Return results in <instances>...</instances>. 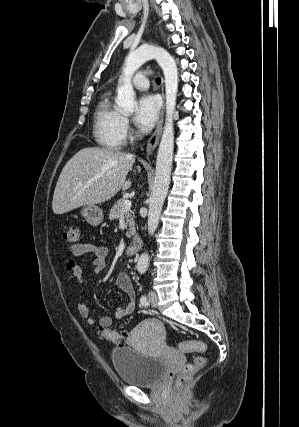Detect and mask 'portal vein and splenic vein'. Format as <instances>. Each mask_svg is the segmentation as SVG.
<instances>
[{
	"label": "portal vein and splenic vein",
	"mask_w": 299,
	"mask_h": 427,
	"mask_svg": "<svg viewBox=\"0 0 299 427\" xmlns=\"http://www.w3.org/2000/svg\"><path fill=\"white\" fill-rule=\"evenodd\" d=\"M131 208V201L130 200H125L123 207H122V212H126L129 211Z\"/></svg>",
	"instance_id": "portal-vein-and-splenic-vein-1"
}]
</instances>
